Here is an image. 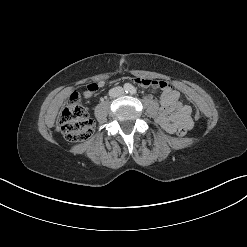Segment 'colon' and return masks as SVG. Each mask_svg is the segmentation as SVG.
<instances>
[{"label":"colon","instance_id":"5ec220e1","mask_svg":"<svg viewBox=\"0 0 247 247\" xmlns=\"http://www.w3.org/2000/svg\"><path fill=\"white\" fill-rule=\"evenodd\" d=\"M71 104L61 113L59 126L66 140L70 142H82L88 140L93 134L94 123L86 110L78 103V94L70 97ZM187 129L180 127L178 136H185Z\"/></svg>","mask_w":247,"mask_h":247}]
</instances>
